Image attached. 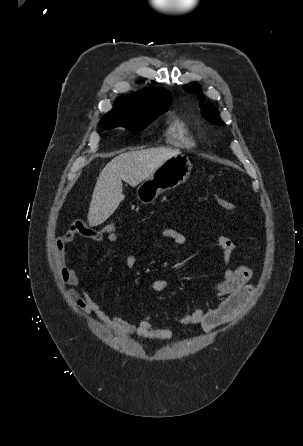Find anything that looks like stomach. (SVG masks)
Wrapping results in <instances>:
<instances>
[{"label": "stomach", "mask_w": 303, "mask_h": 446, "mask_svg": "<svg viewBox=\"0 0 303 446\" xmlns=\"http://www.w3.org/2000/svg\"><path fill=\"white\" fill-rule=\"evenodd\" d=\"M188 157L178 154L158 167L137 189V198L143 204H150L164 191L184 183L191 172Z\"/></svg>", "instance_id": "stomach-1"}]
</instances>
